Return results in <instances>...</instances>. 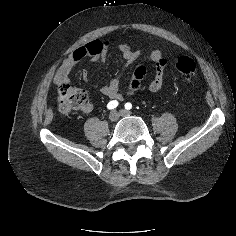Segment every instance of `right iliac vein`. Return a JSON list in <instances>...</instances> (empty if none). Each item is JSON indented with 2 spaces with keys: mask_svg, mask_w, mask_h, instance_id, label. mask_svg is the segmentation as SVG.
Returning <instances> with one entry per match:
<instances>
[{
  "mask_svg": "<svg viewBox=\"0 0 236 236\" xmlns=\"http://www.w3.org/2000/svg\"><path fill=\"white\" fill-rule=\"evenodd\" d=\"M119 118V113L117 111H112L109 115V120L111 122H116Z\"/></svg>",
  "mask_w": 236,
  "mask_h": 236,
  "instance_id": "1",
  "label": "right iliac vein"
}]
</instances>
